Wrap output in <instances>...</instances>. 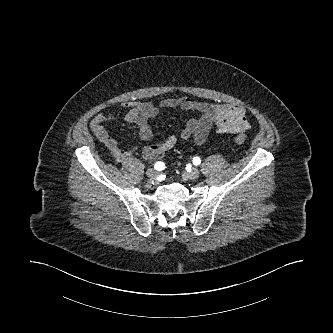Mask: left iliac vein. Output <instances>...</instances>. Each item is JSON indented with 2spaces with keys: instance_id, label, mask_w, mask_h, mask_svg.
I'll return each mask as SVG.
<instances>
[{
  "instance_id": "4c4485c4",
  "label": "left iliac vein",
  "mask_w": 333,
  "mask_h": 333,
  "mask_svg": "<svg viewBox=\"0 0 333 333\" xmlns=\"http://www.w3.org/2000/svg\"><path fill=\"white\" fill-rule=\"evenodd\" d=\"M200 176V172L198 169L193 168L190 172L185 173V177L189 180H197Z\"/></svg>"
}]
</instances>
